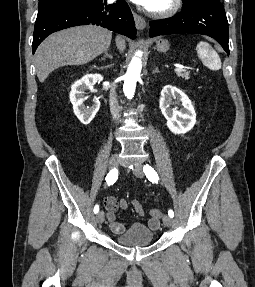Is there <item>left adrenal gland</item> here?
<instances>
[{"instance_id":"a2214340","label":"left adrenal gland","mask_w":255,"mask_h":287,"mask_svg":"<svg viewBox=\"0 0 255 287\" xmlns=\"http://www.w3.org/2000/svg\"><path fill=\"white\" fill-rule=\"evenodd\" d=\"M155 72H158V68H155V70H154L153 74H155Z\"/></svg>"}]
</instances>
